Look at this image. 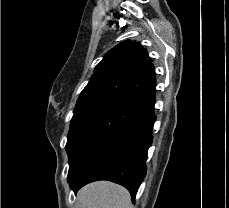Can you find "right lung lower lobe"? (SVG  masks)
I'll return each instance as SVG.
<instances>
[{"instance_id":"right-lung-lower-lobe-1","label":"right lung lower lobe","mask_w":229,"mask_h":208,"mask_svg":"<svg viewBox=\"0 0 229 208\" xmlns=\"http://www.w3.org/2000/svg\"><path fill=\"white\" fill-rule=\"evenodd\" d=\"M154 104L93 146L68 173L74 192L89 182L109 180L127 188L135 199L147 171V152L156 120Z\"/></svg>"}]
</instances>
